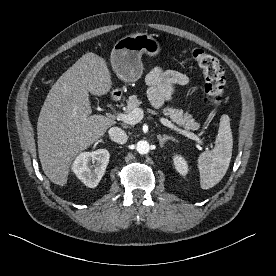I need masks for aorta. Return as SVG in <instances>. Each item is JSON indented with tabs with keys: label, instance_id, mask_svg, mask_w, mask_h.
<instances>
[{
	"label": "aorta",
	"instance_id": "obj_1",
	"mask_svg": "<svg viewBox=\"0 0 276 276\" xmlns=\"http://www.w3.org/2000/svg\"><path fill=\"white\" fill-rule=\"evenodd\" d=\"M136 150L139 154H147L150 151V144L147 141L141 140L137 142Z\"/></svg>",
	"mask_w": 276,
	"mask_h": 276
}]
</instances>
